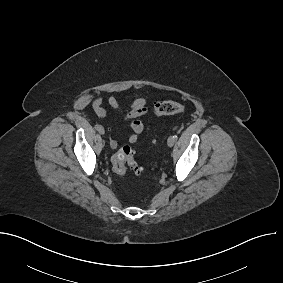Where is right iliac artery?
I'll list each match as a JSON object with an SVG mask.
<instances>
[{
  "mask_svg": "<svg viewBox=\"0 0 283 283\" xmlns=\"http://www.w3.org/2000/svg\"><path fill=\"white\" fill-rule=\"evenodd\" d=\"M100 128H101V126H100L99 124H96V125H95V129H96V130H99Z\"/></svg>",
  "mask_w": 283,
  "mask_h": 283,
  "instance_id": "82829eb1",
  "label": "right iliac artery"
}]
</instances>
